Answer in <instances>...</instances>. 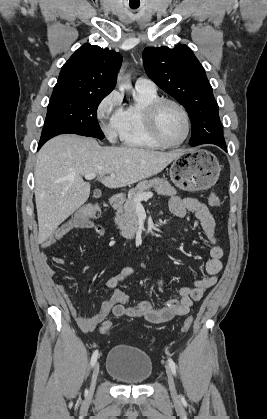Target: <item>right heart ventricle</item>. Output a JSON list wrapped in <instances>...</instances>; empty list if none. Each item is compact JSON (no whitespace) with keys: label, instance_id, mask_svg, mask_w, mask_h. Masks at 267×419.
Listing matches in <instances>:
<instances>
[{"label":"right heart ventricle","instance_id":"e07e8e85","mask_svg":"<svg viewBox=\"0 0 267 419\" xmlns=\"http://www.w3.org/2000/svg\"><path fill=\"white\" fill-rule=\"evenodd\" d=\"M159 98L157 91L135 90V102L121 108L119 137L123 145L141 149H159L150 136L145 122L147 107Z\"/></svg>","mask_w":267,"mask_h":419}]
</instances>
